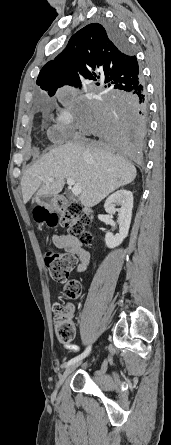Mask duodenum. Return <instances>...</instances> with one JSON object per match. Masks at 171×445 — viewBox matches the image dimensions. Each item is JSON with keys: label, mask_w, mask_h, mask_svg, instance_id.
<instances>
[{"label": "duodenum", "mask_w": 171, "mask_h": 445, "mask_svg": "<svg viewBox=\"0 0 171 445\" xmlns=\"http://www.w3.org/2000/svg\"><path fill=\"white\" fill-rule=\"evenodd\" d=\"M60 200L63 201V198L60 197ZM85 212H86L87 214H90V213L92 212V210H91L90 208L86 207V208H85Z\"/></svg>", "instance_id": "obj_1"}]
</instances>
